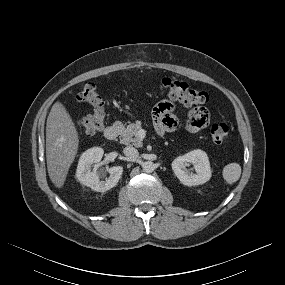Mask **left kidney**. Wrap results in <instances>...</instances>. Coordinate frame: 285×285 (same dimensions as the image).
Instances as JSON below:
<instances>
[{
  "instance_id": "1",
  "label": "left kidney",
  "mask_w": 285,
  "mask_h": 285,
  "mask_svg": "<svg viewBox=\"0 0 285 285\" xmlns=\"http://www.w3.org/2000/svg\"><path fill=\"white\" fill-rule=\"evenodd\" d=\"M192 163L196 173L187 170L186 166ZM172 169L183 185L196 186L204 184L211 178V168L206 152L197 149L177 157L172 162Z\"/></svg>"
}]
</instances>
